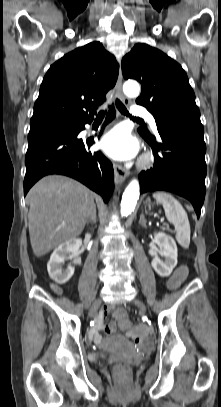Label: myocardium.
Masks as SVG:
<instances>
[{
    "mask_svg": "<svg viewBox=\"0 0 221 407\" xmlns=\"http://www.w3.org/2000/svg\"><path fill=\"white\" fill-rule=\"evenodd\" d=\"M154 163V157L151 154H146L141 160L140 167L148 168Z\"/></svg>",
    "mask_w": 221,
    "mask_h": 407,
    "instance_id": "myocardium-1",
    "label": "myocardium"
}]
</instances>
